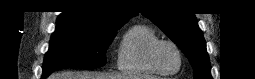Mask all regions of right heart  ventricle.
<instances>
[{
  "mask_svg": "<svg viewBox=\"0 0 255 79\" xmlns=\"http://www.w3.org/2000/svg\"><path fill=\"white\" fill-rule=\"evenodd\" d=\"M158 40L150 27L137 24L128 29L120 45L118 68L121 72L152 76L159 74L148 62V48Z\"/></svg>",
  "mask_w": 255,
  "mask_h": 79,
  "instance_id": "1",
  "label": "right heart ventricle"
}]
</instances>
